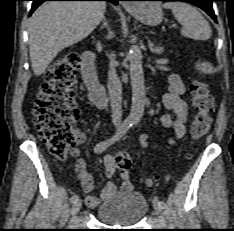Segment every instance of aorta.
Instances as JSON below:
<instances>
[{
	"instance_id": "aorta-1",
	"label": "aorta",
	"mask_w": 234,
	"mask_h": 231,
	"mask_svg": "<svg viewBox=\"0 0 234 231\" xmlns=\"http://www.w3.org/2000/svg\"><path fill=\"white\" fill-rule=\"evenodd\" d=\"M128 58L130 61L132 106L127 119L131 123H138L144 114L146 98L144 74L142 67V54L138 46L133 45L130 48Z\"/></svg>"
}]
</instances>
